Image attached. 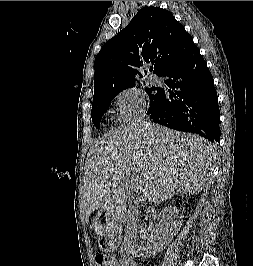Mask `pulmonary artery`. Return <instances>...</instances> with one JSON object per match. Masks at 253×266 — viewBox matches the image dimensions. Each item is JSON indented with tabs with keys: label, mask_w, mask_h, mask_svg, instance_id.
Segmentation results:
<instances>
[{
	"label": "pulmonary artery",
	"mask_w": 253,
	"mask_h": 266,
	"mask_svg": "<svg viewBox=\"0 0 253 266\" xmlns=\"http://www.w3.org/2000/svg\"><path fill=\"white\" fill-rule=\"evenodd\" d=\"M153 81L156 83V84H161L162 83V79L157 77V76H154L153 77Z\"/></svg>",
	"instance_id": "e3ab8cb5"
}]
</instances>
